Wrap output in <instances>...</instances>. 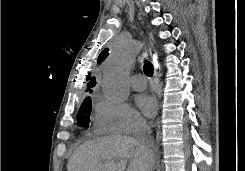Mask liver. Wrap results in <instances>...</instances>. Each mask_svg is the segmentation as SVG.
<instances>
[{"label":"liver","instance_id":"liver-1","mask_svg":"<svg viewBox=\"0 0 245 171\" xmlns=\"http://www.w3.org/2000/svg\"><path fill=\"white\" fill-rule=\"evenodd\" d=\"M152 171L155 165L146 158L136 139L106 136L86 141L69 159L67 171Z\"/></svg>","mask_w":245,"mask_h":171}]
</instances>
